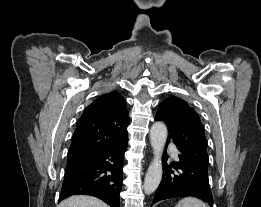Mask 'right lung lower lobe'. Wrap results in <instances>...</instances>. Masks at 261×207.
<instances>
[{"label":"right lung lower lobe","mask_w":261,"mask_h":207,"mask_svg":"<svg viewBox=\"0 0 261 207\" xmlns=\"http://www.w3.org/2000/svg\"><path fill=\"white\" fill-rule=\"evenodd\" d=\"M127 142L67 161L59 202L71 195L95 196L119 207Z\"/></svg>","instance_id":"98d812e1"}]
</instances>
